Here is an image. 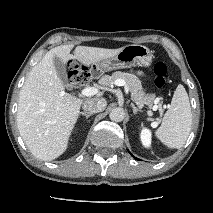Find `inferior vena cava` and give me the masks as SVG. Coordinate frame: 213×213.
I'll return each mask as SVG.
<instances>
[{"label": "inferior vena cava", "instance_id": "obj_1", "mask_svg": "<svg viewBox=\"0 0 213 213\" xmlns=\"http://www.w3.org/2000/svg\"><path fill=\"white\" fill-rule=\"evenodd\" d=\"M107 102L104 98L87 99L83 103V109L89 113H98L105 109Z\"/></svg>", "mask_w": 213, "mask_h": 213}]
</instances>
